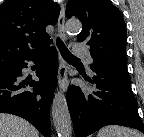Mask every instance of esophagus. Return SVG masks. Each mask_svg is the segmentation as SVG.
I'll return each instance as SVG.
<instances>
[{
    "instance_id": "obj_1",
    "label": "esophagus",
    "mask_w": 144,
    "mask_h": 137,
    "mask_svg": "<svg viewBox=\"0 0 144 137\" xmlns=\"http://www.w3.org/2000/svg\"><path fill=\"white\" fill-rule=\"evenodd\" d=\"M57 31L59 37L65 41L66 33H65V8L64 5H61L60 15L57 23ZM58 85L63 90L66 91L68 87V67L65 64L64 60L60 56L59 69H58Z\"/></svg>"
}]
</instances>
